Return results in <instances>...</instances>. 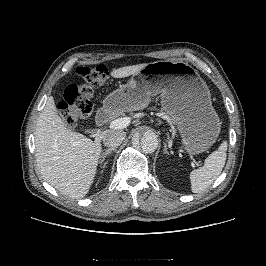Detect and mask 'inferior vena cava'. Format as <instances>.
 <instances>
[{
	"instance_id": "inferior-vena-cava-1",
	"label": "inferior vena cava",
	"mask_w": 266,
	"mask_h": 266,
	"mask_svg": "<svg viewBox=\"0 0 266 266\" xmlns=\"http://www.w3.org/2000/svg\"><path fill=\"white\" fill-rule=\"evenodd\" d=\"M126 133L123 131H108L103 136V143L107 147H118L122 143V141L125 139Z\"/></svg>"
}]
</instances>
